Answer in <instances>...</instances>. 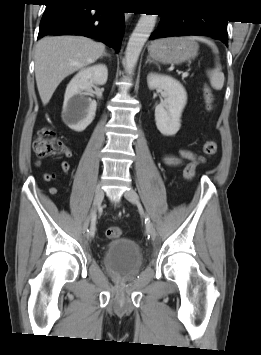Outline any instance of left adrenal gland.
<instances>
[{
  "mask_svg": "<svg viewBox=\"0 0 261 355\" xmlns=\"http://www.w3.org/2000/svg\"><path fill=\"white\" fill-rule=\"evenodd\" d=\"M147 63H154V64H157V63H155L154 61H152V60L150 59V57H147V61H146L145 64H147Z\"/></svg>",
  "mask_w": 261,
  "mask_h": 355,
  "instance_id": "1",
  "label": "left adrenal gland"
}]
</instances>
